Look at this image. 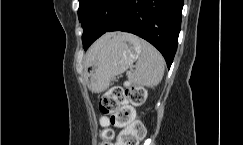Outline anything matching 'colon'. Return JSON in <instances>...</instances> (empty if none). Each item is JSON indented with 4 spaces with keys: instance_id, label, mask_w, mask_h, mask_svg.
<instances>
[{
    "instance_id": "obj_1",
    "label": "colon",
    "mask_w": 243,
    "mask_h": 145,
    "mask_svg": "<svg viewBox=\"0 0 243 145\" xmlns=\"http://www.w3.org/2000/svg\"><path fill=\"white\" fill-rule=\"evenodd\" d=\"M145 99V89L129 82L110 88L99 104L103 128L98 145H139L145 136V128L135 119L134 107L141 106ZM110 126L122 129L115 144L114 131Z\"/></svg>"
}]
</instances>
